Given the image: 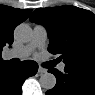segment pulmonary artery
<instances>
[{"label": "pulmonary artery", "instance_id": "e3ab8cb5", "mask_svg": "<svg viewBox=\"0 0 95 95\" xmlns=\"http://www.w3.org/2000/svg\"><path fill=\"white\" fill-rule=\"evenodd\" d=\"M47 37H48L47 29L42 25H36L33 28L32 38L30 42L21 48L12 49L6 52L5 56L7 58L25 59L31 54L34 48L42 46L47 40ZM64 68H65V63L62 62L59 65V69L63 70Z\"/></svg>", "mask_w": 95, "mask_h": 95}]
</instances>
